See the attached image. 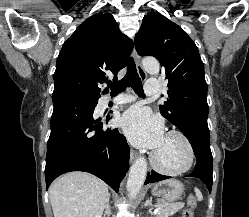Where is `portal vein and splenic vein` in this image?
<instances>
[{
    "instance_id": "portal-vein-and-splenic-vein-1",
    "label": "portal vein and splenic vein",
    "mask_w": 249,
    "mask_h": 217,
    "mask_svg": "<svg viewBox=\"0 0 249 217\" xmlns=\"http://www.w3.org/2000/svg\"><path fill=\"white\" fill-rule=\"evenodd\" d=\"M159 210H160V208H156V209L154 210V215H157L158 212H159Z\"/></svg>"
}]
</instances>
